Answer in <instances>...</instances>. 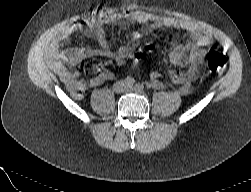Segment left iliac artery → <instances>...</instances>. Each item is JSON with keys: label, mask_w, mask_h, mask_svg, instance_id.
Instances as JSON below:
<instances>
[{"label": "left iliac artery", "mask_w": 251, "mask_h": 192, "mask_svg": "<svg viewBox=\"0 0 251 192\" xmlns=\"http://www.w3.org/2000/svg\"><path fill=\"white\" fill-rule=\"evenodd\" d=\"M143 89H144V85L143 84L138 83V84L135 85V90L136 91L142 92Z\"/></svg>", "instance_id": "1"}]
</instances>
